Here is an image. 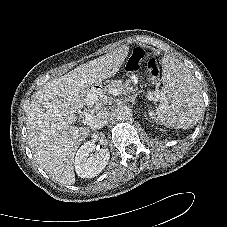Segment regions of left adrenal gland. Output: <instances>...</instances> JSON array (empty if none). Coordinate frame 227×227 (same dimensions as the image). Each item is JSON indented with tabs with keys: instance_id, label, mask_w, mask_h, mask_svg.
<instances>
[{
	"instance_id": "1",
	"label": "left adrenal gland",
	"mask_w": 227,
	"mask_h": 227,
	"mask_svg": "<svg viewBox=\"0 0 227 227\" xmlns=\"http://www.w3.org/2000/svg\"><path fill=\"white\" fill-rule=\"evenodd\" d=\"M136 96H137V95H133V96L127 98L126 100H127V101H130V102H132V103H135Z\"/></svg>"
}]
</instances>
